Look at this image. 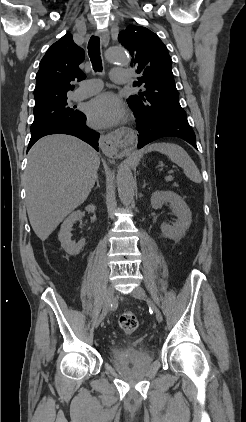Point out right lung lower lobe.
I'll list each match as a JSON object with an SVG mask.
<instances>
[{"mask_svg":"<svg viewBox=\"0 0 246 422\" xmlns=\"http://www.w3.org/2000/svg\"><path fill=\"white\" fill-rule=\"evenodd\" d=\"M50 134H69L76 136L98 151L99 133L92 131L86 126V116L83 113L75 120L51 123L31 131V139L27 151H29L38 139Z\"/></svg>","mask_w":246,"mask_h":422,"instance_id":"obj_1","label":"right lung lower lobe"}]
</instances>
